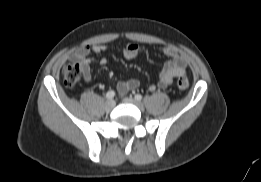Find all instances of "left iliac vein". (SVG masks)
Segmentation results:
<instances>
[{"mask_svg":"<svg viewBox=\"0 0 261 182\" xmlns=\"http://www.w3.org/2000/svg\"><path fill=\"white\" fill-rule=\"evenodd\" d=\"M123 101L125 103L133 104V105L137 106L141 110L144 108V106H143V104L141 102L137 101L136 99H134L132 97H125L123 99Z\"/></svg>","mask_w":261,"mask_h":182,"instance_id":"left-iliac-vein-1","label":"left iliac vein"}]
</instances>
